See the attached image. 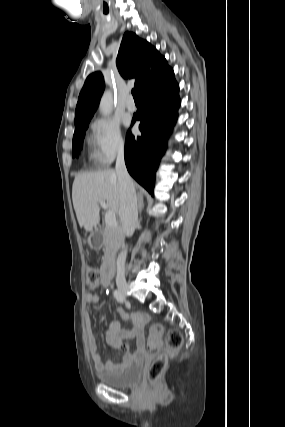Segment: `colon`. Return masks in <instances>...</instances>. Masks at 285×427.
<instances>
[{
    "instance_id": "obj_1",
    "label": "colon",
    "mask_w": 285,
    "mask_h": 427,
    "mask_svg": "<svg viewBox=\"0 0 285 427\" xmlns=\"http://www.w3.org/2000/svg\"><path fill=\"white\" fill-rule=\"evenodd\" d=\"M86 281L91 287H95L99 283V276L96 269L93 266L86 267ZM163 328L160 324H153L149 329L147 339V349L154 351L159 348L161 344V336ZM183 338L178 330H170L167 332L165 337V352L160 354L151 364L148 371V379L150 382H156L164 372L168 358L171 354L178 351L182 347Z\"/></svg>"
}]
</instances>
